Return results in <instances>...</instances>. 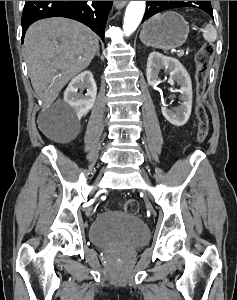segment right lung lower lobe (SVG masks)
Wrapping results in <instances>:
<instances>
[{
  "label": "right lung lower lobe",
  "instance_id": "98d812e1",
  "mask_svg": "<svg viewBox=\"0 0 237 300\" xmlns=\"http://www.w3.org/2000/svg\"><path fill=\"white\" fill-rule=\"evenodd\" d=\"M112 1H25L22 42L27 28L37 20L67 17L90 27L104 41V29Z\"/></svg>",
  "mask_w": 237,
  "mask_h": 300
}]
</instances>
